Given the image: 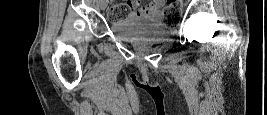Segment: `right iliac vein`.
Listing matches in <instances>:
<instances>
[{"mask_svg":"<svg viewBox=\"0 0 267 115\" xmlns=\"http://www.w3.org/2000/svg\"><path fill=\"white\" fill-rule=\"evenodd\" d=\"M107 7V4L105 1L101 2V9L104 10Z\"/></svg>","mask_w":267,"mask_h":115,"instance_id":"obj_1","label":"right iliac vein"}]
</instances>
